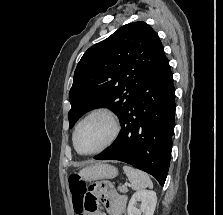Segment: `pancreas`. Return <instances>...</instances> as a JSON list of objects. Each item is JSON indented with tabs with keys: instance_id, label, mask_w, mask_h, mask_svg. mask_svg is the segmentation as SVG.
<instances>
[{
	"instance_id": "cf45deb5",
	"label": "pancreas",
	"mask_w": 223,
	"mask_h": 215,
	"mask_svg": "<svg viewBox=\"0 0 223 215\" xmlns=\"http://www.w3.org/2000/svg\"><path fill=\"white\" fill-rule=\"evenodd\" d=\"M119 191H123V193H125V191H128L127 187H118Z\"/></svg>"
}]
</instances>
